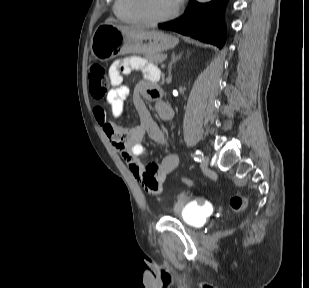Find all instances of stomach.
Returning <instances> with one entry per match:
<instances>
[{
  "label": "stomach",
  "instance_id": "1",
  "mask_svg": "<svg viewBox=\"0 0 309 288\" xmlns=\"http://www.w3.org/2000/svg\"><path fill=\"white\" fill-rule=\"evenodd\" d=\"M178 42L175 36L159 31L106 22L95 29L90 50L95 59L104 62L127 53L157 54L174 48Z\"/></svg>",
  "mask_w": 309,
  "mask_h": 288
}]
</instances>
